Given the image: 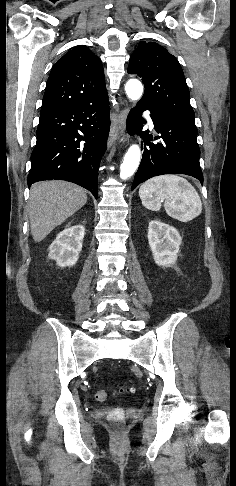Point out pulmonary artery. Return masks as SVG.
<instances>
[{"instance_id":"e3ab8cb5","label":"pulmonary artery","mask_w":236,"mask_h":486,"mask_svg":"<svg viewBox=\"0 0 236 486\" xmlns=\"http://www.w3.org/2000/svg\"><path fill=\"white\" fill-rule=\"evenodd\" d=\"M146 116H147V120H148L150 126L153 127L154 125H153V121H152L151 117L148 114H146Z\"/></svg>"}]
</instances>
